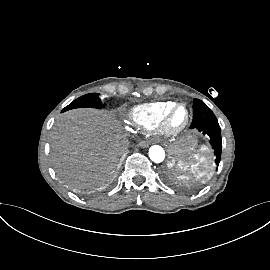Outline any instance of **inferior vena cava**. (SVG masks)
<instances>
[{"mask_svg": "<svg viewBox=\"0 0 270 270\" xmlns=\"http://www.w3.org/2000/svg\"><path fill=\"white\" fill-rule=\"evenodd\" d=\"M129 147V141L126 137H121L119 140H117L114 144V149L116 153L122 154L127 151Z\"/></svg>", "mask_w": 270, "mask_h": 270, "instance_id": "602c4592", "label": "inferior vena cava"}]
</instances>
